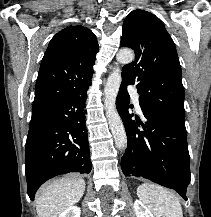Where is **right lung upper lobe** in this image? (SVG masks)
I'll return each instance as SVG.
<instances>
[{"instance_id":"cb5924a9","label":"right lung upper lobe","mask_w":211,"mask_h":217,"mask_svg":"<svg viewBox=\"0 0 211 217\" xmlns=\"http://www.w3.org/2000/svg\"><path fill=\"white\" fill-rule=\"evenodd\" d=\"M95 35L75 25L59 31L43 56L32 112L42 110L88 88L98 52Z\"/></svg>"}]
</instances>
